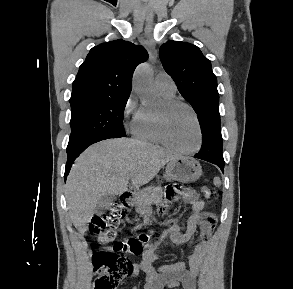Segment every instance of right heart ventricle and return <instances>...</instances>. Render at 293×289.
<instances>
[{
    "mask_svg": "<svg viewBox=\"0 0 293 289\" xmlns=\"http://www.w3.org/2000/svg\"><path fill=\"white\" fill-rule=\"evenodd\" d=\"M161 95L165 99H172L174 98L173 94H167L160 92ZM155 112L152 111L149 108L143 107L142 112L140 114V117L138 121L135 124V127L133 129V133L136 138L150 142V143H159V139L156 134L155 130Z\"/></svg>",
    "mask_w": 293,
    "mask_h": 289,
    "instance_id": "1",
    "label": "right heart ventricle"
}]
</instances>
